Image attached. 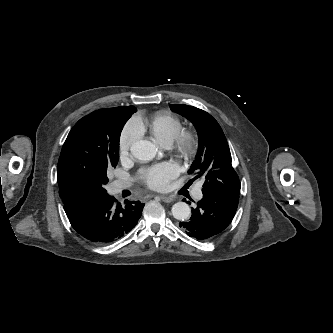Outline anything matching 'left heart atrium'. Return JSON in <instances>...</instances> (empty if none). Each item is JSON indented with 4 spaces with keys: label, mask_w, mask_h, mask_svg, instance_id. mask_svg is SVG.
Returning <instances> with one entry per match:
<instances>
[{
    "label": "left heart atrium",
    "mask_w": 333,
    "mask_h": 333,
    "mask_svg": "<svg viewBox=\"0 0 333 333\" xmlns=\"http://www.w3.org/2000/svg\"><path fill=\"white\" fill-rule=\"evenodd\" d=\"M179 173V168L172 162L153 165L140 172L143 182L152 189H164L170 180Z\"/></svg>",
    "instance_id": "1"
}]
</instances>
